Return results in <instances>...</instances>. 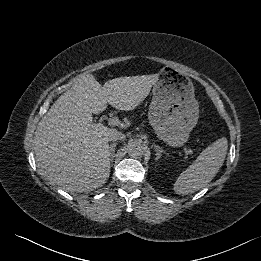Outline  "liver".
I'll return each mask as SVG.
<instances>
[{"instance_id":"liver-1","label":"liver","mask_w":261,"mask_h":261,"mask_svg":"<svg viewBox=\"0 0 261 261\" xmlns=\"http://www.w3.org/2000/svg\"><path fill=\"white\" fill-rule=\"evenodd\" d=\"M158 78L119 77L102 86L90 73L79 75L37 125L34 150L43 177L70 192L102 187L110 175L109 134L116 129L94 123L92 114L103 112L107 104L133 110Z\"/></svg>"}]
</instances>
